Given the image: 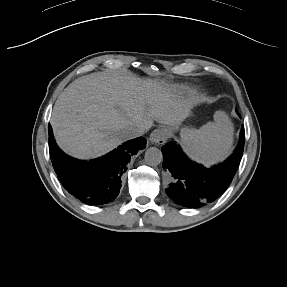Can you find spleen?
Segmentation results:
<instances>
[{"mask_svg": "<svg viewBox=\"0 0 287 287\" xmlns=\"http://www.w3.org/2000/svg\"><path fill=\"white\" fill-rule=\"evenodd\" d=\"M234 126L224 111H216L214 122L199 129L186 128L181 132V145L194 161L210 166L226 159L232 150Z\"/></svg>", "mask_w": 287, "mask_h": 287, "instance_id": "obj_1", "label": "spleen"}]
</instances>
